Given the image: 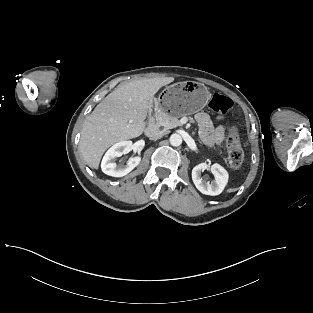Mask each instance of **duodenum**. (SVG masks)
<instances>
[{
  "mask_svg": "<svg viewBox=\"0 0 313 313\" xmlns=\"http://www.w3.org/2000/svg\"><path fill=\"white\" fill-rule=\"evenodd\" d=\"M158 128H159V125H158V118L156 115H153L151 118H150V121H149V124L146 128V135L148 137H154L156 136L157 132H158Z\"/></svg>",
  "mask_w": 313,
  "mask_h": 313,
  "instance_id": "410a0bca",
  "label": "duodenum"
}]
</instances>
